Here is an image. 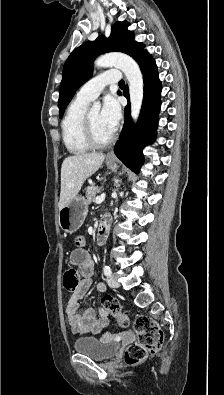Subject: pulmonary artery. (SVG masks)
Returning a JSON list of instances; mask_svg holds the SVG:
<instances>
[{
    "mask_svg": "<svg viewBox=\"0 0 224 395\" xmlns=\"http://www.w3.org/2000/svg\"><path fill=\"white\" fill-rule=\"evenodd\" d=\"M120 78L119 70H106L85 83L77 92V98L90 102L96 99L107 85L120 81Z\"/></svg>",
    "mask_w": 224,
    "mask_h": 395,
    "instance_id": "e3ab8cb5",
    "label": "pulmonary artery"
}]
</instances>
